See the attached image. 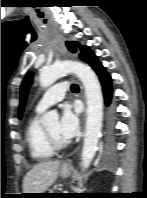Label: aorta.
Here are the masks:
<instances>
[{
    "mask_svg": "<svg viewBox=\"0 0 147 198\" xmlns=\"http://www.w3.org/2000/svg\"><path fill=\"white\" fill-rule=\"evenodd\" d=\"M69 73H74L81 80L87 98V122L81 163L82 169H86L90 166L97 150L103 118V96L96 74L88 65L81 62L63 61L44 67L39 82L41 87L47 88ZM58 119L57 112L49 111L44 115L43 124L50 125Z\"/></svg>",
    "mask_w": 147,
    "mask_h": 198,
    "instance_id": "762f6f07",
    "label": "aorta"
}]
</instances>
